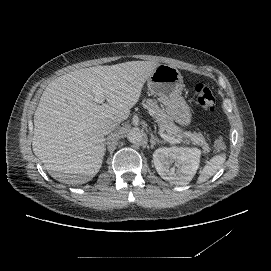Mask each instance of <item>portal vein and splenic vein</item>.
<instances>
[{"label": "portal vein and splenic vein", "instance_id": "obj_1", "mask_svg": "<svg viewBox=\"0 0 271 271\" xmlns=\"http://www.w3.org/2000/svg\"><path fill=\"white\" fill-rule=\"evenodd\" d=\"M94 101L96 103L102 104L105 101V96L103 94V88L100 84H96L94 87ZM159 135L166 141L170 143H180V140L172 136L166 135L160 131Z\"/></svg>", "mask_w": 271, "mask_h": 271}]
</instances>
